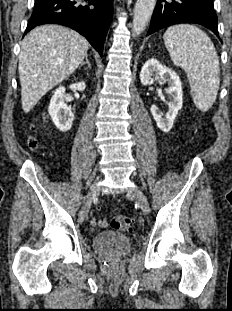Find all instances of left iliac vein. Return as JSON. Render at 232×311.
I'll use <instances>...</instances> for the list:
<instances>
[{
    "instance_id": "4c4485c4",
    "label": "left iliac vein",
    "mask_w": 232,
    "mask_h": 311,
    "mask_svg": "<svg viewBox=\"0 0 232 311\" xmlns=\"http://www.w3.org/2000/svg\"><path fill=\"white\" fill-rule=\"evenodd\" d=\"M127 196L129 198H133L135 200H137V202L139 203L142 212L147 215L150 211V207H149V203L148 200L146 198V196L144 195V193L140 190V189H133L132 191L127 193Z\"/></svg>"
}]
</instances>
